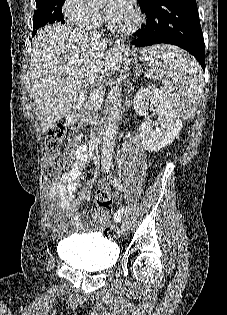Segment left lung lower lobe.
<instances>
[{
	"mask_svg": "<svg viewBox=\"0 0 227 315\" xmlns=\"http://www.w3.org/2000/svg\"><path fill=\"white\" fill-rule=\"evenodd\" d=\"M143 12L146 24L134 33V46H179L191 53L205 71V46L196 0H158Z\"/></svg>",
	"mask_w": 227,
	"mask_h": 315,
	"instance_id": "obj_1",
	"label": "left lung lower lobe"
}]
</instances>
